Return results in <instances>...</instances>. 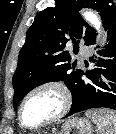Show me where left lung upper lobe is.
<instances>
[{
  "label": "left lung upper lobe",
  "instance_id": "left-lung-upper-lobe-1",
  "mask_svg": "<svg viewBox=\"0 0 116 134\" xmlns=\"http://www.w3.org/2000/svg\"><path fill=\"white\" fill-rule=\"evenodd\" d=\"M83 7L97 10L104 21L115 4L112 0H55L53 7L35 17L27 30L12 79L14 109L29 91L51 81H64L73 96L82 70L70 63L66 43L72 40L78 45L83 39L85 45H89L96 35L78 13Z\"/></svg>",
  "mask_w": 116,
  "mask_h": 134
}]
</instances>
